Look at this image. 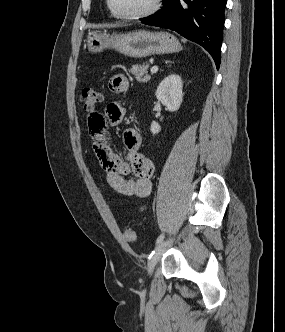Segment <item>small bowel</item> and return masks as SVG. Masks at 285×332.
<instances>
[{
	"label": "small bowel",
	"instance_id": "small-bowel-1",
	"mask_svg": "<svg viewBox=\"0 0 285 332\" xmlns=\"http://www.w3.org/2000/svg\"><path fill=\"white\" fill-rule=\"evenodd\" d=\"M112 92H127L129 82L125 75L116 74L109 81ZM126 110L118 103H110L107 107H95L88 117L89 132L93 148L105 171L109 188L118 195L148 197L152 190L151 178L155 167L152 160L140 152L141 133L134 128L124 131L122 142L125 155L119 156L105 134V126L119 125L125 118ZM131 175L130 177H127Z\"/></svg>",
	"mask_w": 285,
	"mask_h": 332
}]
</instances>
